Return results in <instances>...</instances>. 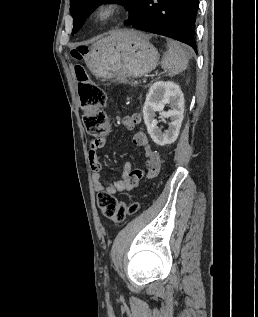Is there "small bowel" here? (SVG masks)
Returning <instances> with one entry per match:
<instances>
[{
	"instance_id": "c3829d8e",
	"label": "small bowel",
	"mask_w": 258,
	"mask_h": 317,
	"mask_svg": "<svg viewBox=\"0 0 258 317\" xmlns=\"http://www.w3.org/2000/svg\"><path fill=\"white\" fill-rule=\"evenodd\" d=\"M119 122L126 129L132 130L141 122V116L138 113H134L122 117ZM133 142L144 150L146 158L145 169L133 168L130 162H126L123 165L121 177L106 185L103 182L105 173L102 169L99 150L106 145L107 138L94 137L91 139L88 147V159L92 171V182L97 192L115 194L116 192L130 191L137 187L144 178H152L159 173L161 166L160 156L151 144L148 135L143 131H139L135 133Z\"/></svg>"
}]
</instances>
